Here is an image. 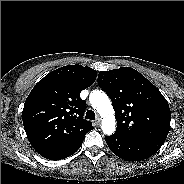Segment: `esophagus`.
Listing matches in <instances>:
<instances>
[{
    "instance_id": "1",
    "label": "esophagus",
    "mask_w": 184,
    "mask_h": 184,
    "mask_svg": "<svg viewBox=\"0 0 184 184\" xmlns=\"http://www.w3.org/2000/svg\"><path fill=\"white\" fill-rule=\"evenodd\" d=\"M100 121H101V118L100 117H98L97 119H96V125H99L100 124Z\"/></svg>"
}]
</instances>
